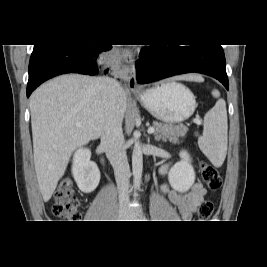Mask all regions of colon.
<instances>
[{"instance_id":"5ec220e1","label":"colon","mask_w":267,"mask_h":267,"mask_svg":"<svg viewBox=\"0 0 267 267\" xmlns=\"http://www.w3.org/2000/svg\"><path fill=\"white\" fill-rule=\"evenodd\" d=\"M201 176L204 183L211 191H217L222 185V178L219 171L207 163L200 164ZM80 203L75 196L71 181L63 180L54 195L52 212L56 217L64 220H77L80 218ZM214 211V204L211 200H204L198 209V220H208Z\"/></svg>"}]
</instances>
